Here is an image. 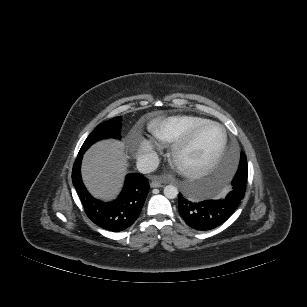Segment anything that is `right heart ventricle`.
<instances>
[{
  "mask_svg": "<svg viewBox=\"0 0 307 307\" xmlns=\"http://www.w3.org/2000/svg\"><path fill=\"white\" fill-rule=\"evenodd\" d=\"M209 121L195 115H177L163 118L152 129L155 139L162 144H175L193 128Z\"/></svg>",
  "mask_w": 307,
  "mask_h": 307,
  "instance_id": "1",
  "label": "right heart ventricle"
}]
</instances>
